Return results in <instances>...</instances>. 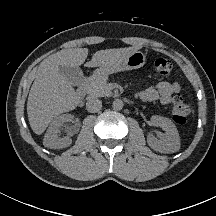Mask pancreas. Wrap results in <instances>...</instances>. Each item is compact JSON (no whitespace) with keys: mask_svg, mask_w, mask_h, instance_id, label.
Returning <instances> with one entry per match:
<instances>
[{"mask_svg":"<svg viewBox=\"0 0 216 216\" xmlns=\"http://www.w3.org/2000/svg\"><path fill=\"white\" fill-rule=\"evenodd\" d=\"M108 77L101 75L86 84L87 93L91 97H103L111 94V89L107 83Z\"/></svg>","mask_w":216,"mask_h":216,"instance_id":"1","label":"pancreas"}]
</instances>
